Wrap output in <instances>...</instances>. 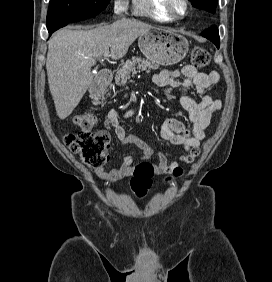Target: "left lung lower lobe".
I'll return each mask as SVG.
<instances>
[{
	"instance_id": "0a47b994",
	"label": "left lung lower lobe",
	"mask_w": 272,
	"mask_h": 282,
	"mask_svg": "<svg viewBox=\"0 0 272 282\" xmlns=\"http://www.w3.org/2000/svg\"><path fill=\"white\" fill-rule=\"evenodd\" d=\"M202 36L211 40L216 45V47L219 48L220 41H219L218 29L216 27H213L211 29L202 32Z\"/></svg>"
}]
</instances>
